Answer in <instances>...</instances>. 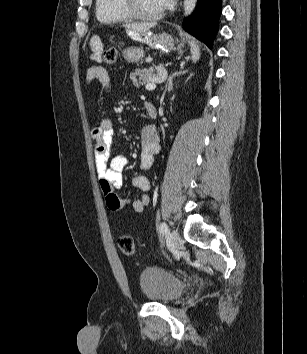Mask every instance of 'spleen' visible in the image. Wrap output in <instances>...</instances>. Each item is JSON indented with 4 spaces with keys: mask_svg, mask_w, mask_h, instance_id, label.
I'll list each match as a JSON object with an SVG mask.
<instances>
[{
    "mask_svg": "<svg viewBox=\"0 0 307 354\" xmlns=\"http://www.w3.org/2000/svg\"><path fill=\"white\" fill-rule=\"evenodd\" d=\"M190 43L191 46V59L193 62H196L200 58V49L196 42L193 40Z\"/></svg>",
    "mask_w": 307,
    "mask_h": 354,
    "instance_id": "1",
    "label": "spleen"
}]
</instances>
